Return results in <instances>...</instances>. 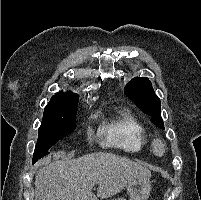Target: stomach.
I'll return each instance as SVG.
<instances>
[{"instance_id": "stomach-1", "label": "stomach", "mask_w": 201, "mask_h": 200, "mask_svg": "<svg viewBox=\"0 0 201 200\" xmlns=\"http://www.w3.org/2000/svg\"><path fill=\"white\" fill-rule=\"evenodd\" d=\"M130 200H147L151 192L149 177H139L129 182L126 186ZM112 200H125L124 198Z\"/></svg>"}]
</instances>
